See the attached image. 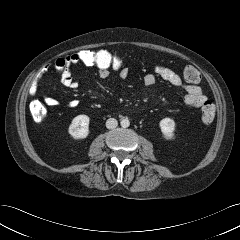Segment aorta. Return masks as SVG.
<instances>
[{
    "label": "aorta",
    "instance_id": "762f6f07",
    "mask_svg": "<svg viewBox=\"0 0 240 240\" xmlns=\"http://www.w3.org/2000/svg\"><path fill=\"white\" fill-rule=\"evenodd\" d=\"M120 125L122 128H127L130 126V121L127 118L121 120Z\"/></svg>",
    "mask_w": 240,
    "mask_h": 240
}]
</instances>
